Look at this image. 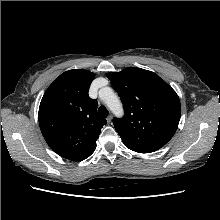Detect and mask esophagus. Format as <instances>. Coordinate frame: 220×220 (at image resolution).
I'll return each mask as SVG.
<instances>
[{
	"label": "esophagus",
	"mask_w": 220,
	"mask_h": 220,
	"mask_svg": "<svg viewBox=\"0 0 220 220\" xmlns=\"http://www.w3.org/2000/svg\"><path fill=\"white\" fill-rule=\"evenodd\" d=\"M111 120H112V115H109L106 119L107 121V124H110L111 123Z\"/></svg>",
	"instance_id": "obj_1"
}]
</instances>
